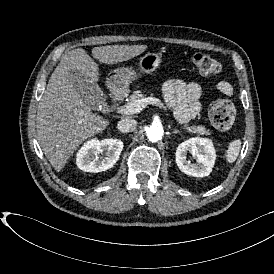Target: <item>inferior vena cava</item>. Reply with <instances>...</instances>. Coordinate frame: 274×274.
<instances>
[{"label": "inferior vena cava", "instance_id": "1", "mask_svg": "<svg viewBox=\"0 0 274 274\" xmlns=\"http://www.w3.org/2000/svg\"><path fill=\"white\" fill-rule=\"evenodd\" d=\"M137 122L134 119L126 118L118 122L117 128L121 133L132 132L136 129Z\"/></svg>", "mask_w": 274, "mask_h": 274}]
</instances>
